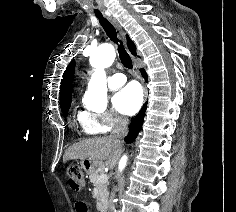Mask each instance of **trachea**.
<instances>
[{"mask_svg":"<svg viewBox=\"0 0 236 212\" xmlns=\"http://www.w3.org/2000/svg\"><path fill=\"white\" fill-rule=\"evenodd\" d=\"M95 15L99 19L101 26L103 27L104 31L106 32L110 40L117 44L119 57L123 66L128 69H132L133 68L132 59L125 50L122 42L117 39V32L115 27L102 15V13L95 12Z\"/></svg>","mask_w":236,"mask_h":212,"instance_id":"obj_1","label":"trachea"}]
</instances>
